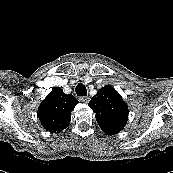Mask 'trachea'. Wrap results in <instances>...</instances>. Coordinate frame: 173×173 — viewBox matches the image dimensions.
<instances>
[{
	"instance_id": "obj_1",
	"label": "trachea",
	"mask_w": 173,
	"mask_h": 173,
	"mask_svg": "<svg viewBox=\"0 0 173 173\" xmlns=\"http://www.w3.org/2000/svg\"><path fill=\"white\" fill-rule=\"evenodd\" d=\"M75 92H76L77 96H86L87 95V89H86L85 85L82 83H79L76 86Z\"/></svg>"
}]
</instances>
